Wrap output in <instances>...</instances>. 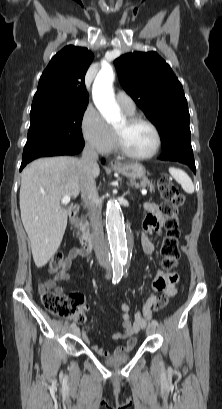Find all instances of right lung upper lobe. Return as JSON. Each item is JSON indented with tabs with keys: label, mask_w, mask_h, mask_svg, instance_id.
Instances as JSON below:
<instances>
[{
	"label": "right lung upper lobe",
	"mask_w": 222,
	"mask_h": 409,
	"mask_svg": "<svg viewBox=\"0 0 222 409\" xmlns=\"http://www.w3.org/2000/svg\"><path fill=\"white\" fill-rule=\"evenodd\" d=\"M94 55L86 48L66 46L50 61L40 77L31 109L73 103H88L85 74Z\"/></svg>",
	"instance_id": "right-lung-upper-lobe-1"
}]
</instances>
